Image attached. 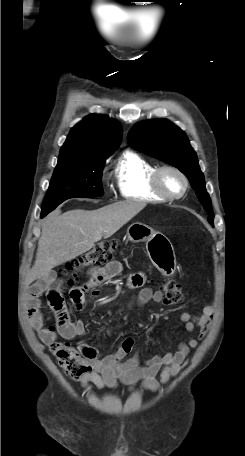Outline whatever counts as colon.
<instances>
[{
  "label": "colon",
  "instance_id": "colon-1",
  "mask_svg": "<svg viewBox=\"0 0 245 456\" xmlns=\"http://www.w3.org/2000/svg\"><path fill=\"white\" fill-rule=\"evenodd\" d=\"M116 240H108L99 243L83 255L71 260L66 264L64 274L68 276V283L72 284L78 277V273L87 267H103L113 258L117 248ZM161 290L164 293V302L169 305H178L184 300V293L175 280L166 279ZM49 348L59 365L73 379H80L90 371V366L83 359V354L74 348L69 342L53 340Z\"/></svg>",
  "mask_w": 245,
  "mask_h": 456
}]
</instances>
